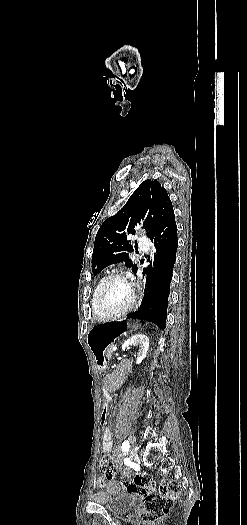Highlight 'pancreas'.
<instances>
[{
    "mask_svg": "<svg viewBox=\"0 0 247 525\" xmlns=\"http://www.w3.org/2000/svg\"><path fill=\"white\" fill-rule=\"evenodd\" d=\"M112 351H113L112 348H106L104 350L105 354L102 356V359L104 361H110L112 359V356L110 355V354H112Z\"/></svg>",
    "mask_w": 247,
    "mask_h": 525,
    "instance_id": "cf45deb5",
    "label": "pancreas"
}]
</instances>
